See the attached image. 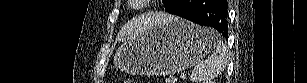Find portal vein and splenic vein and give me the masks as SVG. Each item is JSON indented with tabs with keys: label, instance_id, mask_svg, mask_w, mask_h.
Returning <instances> with one entry per match:
<instances>
[{
	"label": "portal vein and splenic vein",
	"instance_id": "portal-vein-and-splenic-vein-1",
	"mask_svg": "<svg viewBox=\"0 0 307 83\" xmlns=\"http://www.w3.org/2000/svg\"><path fill=\"white\" fill-rule=\"evenodd\" d=\"M186 74L185 73H181L180 78H185Z\"/></svg>",
	"mask_w": 307,
	"mask_h": 83
}]
</instances>
